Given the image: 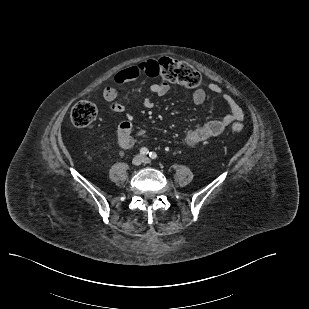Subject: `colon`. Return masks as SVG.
<instances>
[{
	"label": "colon",
	"mask_w": 309,
	"mask_h": 309,
	"mask_svg": "<svg viewBox=\"0 0 309 309\" xmlns=\"http://www.w3.org/2000/svg\"><path fill=\"white\" fill-rule=\"evenodd\" d=\"M158 75L163 79L182 85L186 88L198 87L201 82V75L194 67L184 61L173 58L164 57L158 61H150ZM97 116L96 106L89 101H80L76 103L70 113L71 122L77 127L89 126ZM232 131L240 132L243 125L235 122L231 127Z\"/></svg>",
	"instance_id": "obj_1"
}]
</instances>
